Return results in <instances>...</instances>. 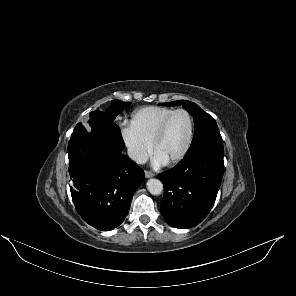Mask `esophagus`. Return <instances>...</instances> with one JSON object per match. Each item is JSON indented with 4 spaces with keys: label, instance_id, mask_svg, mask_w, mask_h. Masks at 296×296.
I'll return each instance as SVG.
<instances>
[{
    "label": "esophagus",
    "instance_id": "obj_1",
    "mask_svg": "<svg viewBox=\"0 0 296 296\" xmlns=\"http://www.w3.org/2000/svg\"><path fill=\"white\" fill-rule=\"evenodd\" d=\"M155 174L151 171H148V170H145V177L146 178H151V177H154Z\"/></svg>",
    "mask_w": 296,
    "mask_h": 296
}]
</instances>
